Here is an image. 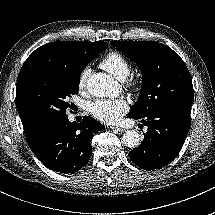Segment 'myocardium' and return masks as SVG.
Returning a JSON list of instances; mask_svg holds the SVG:
<instances>
[{
	"label": "myocardium",
	"mask_w": 215,
	"mask_h": 215,
	"mask_svg": "<svg viewBox=\"0 0 215 215\" xmlns=\"http://www.w3.org/2000/svg\"><path fill=\"white\" fill-rule=\"evenodd\" d=\"M127 86L133 91H139L142 85V79L140 76L131 73L126 77Z\"/></svg>",
	"instance_id": "myocardium-1"
}]
</instances>
